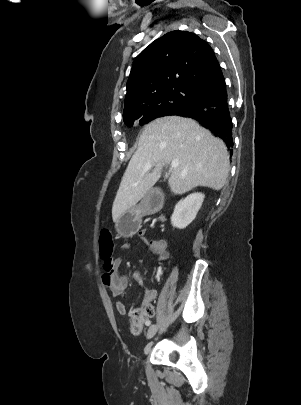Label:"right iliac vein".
I'll list each match as a JSON object with an SVG mask.
<instances>
[{
    "label": "right iliac vein",
    "mask_w": 301,
    "mask_h": 405,
    "mask_svg": "<svg viewBox=\"0 0 301 405\" xmlns=\"http://www.w3.org/2000/svg\"><path fill=\"white\" fill-rule=\"evenodd\" d=\"M158 327L157 325L153 324L149 327L148 331H147V339H151L156 333H157Z\"/></svg>",
    "instance_id": "right-iliac-vein-1"
}]
</instances>
